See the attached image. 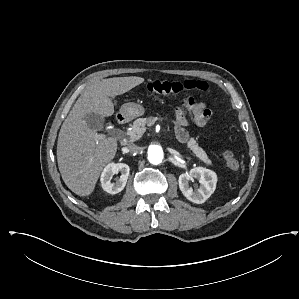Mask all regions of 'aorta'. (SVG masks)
I'll use <instances>...</instances> for the list:
<instances>
[{"label": "aorta", "instance_id": "obj_1", "mask_svg": "<svg viewBox=\"0 0 299 299\" xmlns=\"http://www.w3.org/2000/svg\"><path fill=\"white\" fill-rule=\"evenodd\" d=\"M147 157L151 164L158 165L164 159V149L161 145L152 143L148 146Z\"/></svg>", "mask_w": 299, "mask_h": 299}]
</instances>
